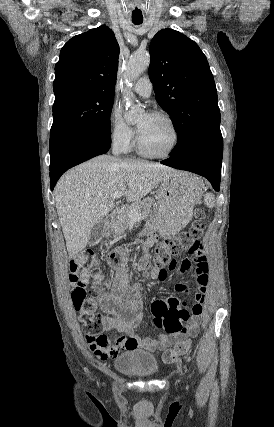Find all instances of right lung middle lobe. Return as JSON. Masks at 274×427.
Instances as JSON below:
<instances>
[{
    "label": "right lung middle lobe",
    "mask_w": 274,
    "mask_h": 427,
    "mask_svg": "<svg viewBox=\"0 0 274 427\" xmlns=\"http://www.w3.org/2000/svg\"><path fill=\"white\" fill-rule=\"evenodd\" d=\"M114 95H69L53 105L50 154L73 138L94 134L111 136Z\"/></svg>",
    "instance_id": "1"
}]
</instances>
